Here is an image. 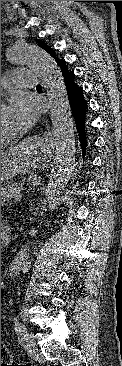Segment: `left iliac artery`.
I'll return each mask as SVG.
<instances>
[{
  "mask_svg": "<svg viewBox=\"0 0 122 366\" xmlns=\"http://www.w3.org/2000/svg\"><path fill=\"white\" fill-rule=\"evenodd\" d=\"M15 330L17 332L20 333L21 336L25 337L26 334L24 333L25 332V328L23 327V325L19 322L15 323Z\"/></svg>",
  "mask_w": 122,
  "mask_h": 366,
  "instance_id": "1",
  "label": "left iliac artery"
}]
</instances>
